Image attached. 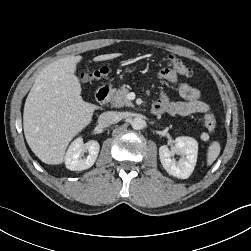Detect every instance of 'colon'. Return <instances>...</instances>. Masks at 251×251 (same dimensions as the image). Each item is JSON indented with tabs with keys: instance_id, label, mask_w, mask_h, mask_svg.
Here are the masks:
<instances>
[{
	"instance_id": "obj_1",
	"label": "colon",
	"mask_w": 251,
	"mask_h": 251,
	"mask_svg": "<svg viewBox=\"0 0 251 251\" xmlns=\"http://www.w3.org/2000/svg\"><path fill=\"white\" fill-rule=\"evenodd\" d=\"M167 66L172 71L183 75V76H191L192 70L186 64H184L180 59L176 58L174 55H168L166 57ZM108 73V69L106 67H102L92 72H85L81 74V80L86 82L93 79H99L104 77ZM216 119L212 113H209L205 116V126L210 133H213L216 130Z\"/></svg>"
}]
</instances>
